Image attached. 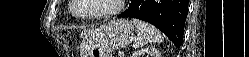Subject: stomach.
<instances>
[{"instance_id": "0dacf381", "label": "stomach", "mask_w": 249, "mask_h": 57, "mask_svg": "<svg viewBox=\"0 0 249 57\" xmlns=\"http://www.w3.org/2000/svg\"><path fill=\"white\" fill-rule=\"evenodd\" d=\"M134 39V27L127 19L103 24L85 36L82 57H112L114 49L129 45Z\"/></svg>"}]
</instances>
